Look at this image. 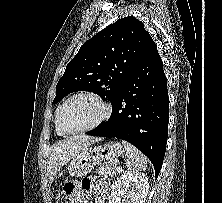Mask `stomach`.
<instances>
[{"instance_id": "stomach-1", "label": "stomach", "mask_w": 222, "mask_h": 203, "mask_svg": "<svg viewBox=\"0 0 222 203\" xmlns=\"http://www.w3.org/2000/svg\"><path fill=\"white\" fill-rule=\"evenodd\" d=\"M124 152L119 142H109L104 145L88 146L80 150L71 159L69 173L72 177H82L91 171L101 161L115 160Z\"/></svg>"}]
</instances>
